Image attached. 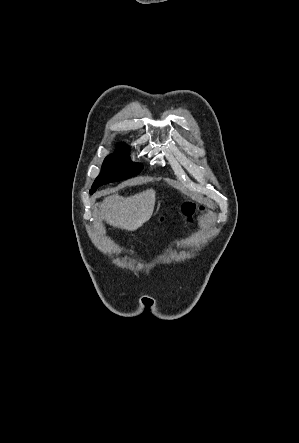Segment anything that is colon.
Returning <instances> with one entry per match:
<instances>
[{
	"mask_svg": "<svg viewBox=\"0 0 299 443\" xmlns=\"http://www.w3.org/2000/svg\"><path fill=\"white\" fill-rule=\"evenodd\" d=\"M181 210L185 216L191 218L192 215L196 212L197 206L194 203L186 202L182 205ZM200 210H202V207L200 208Z\"/></svg>",
	"mask_w": 299,
	"mask_h": 443,
	"instance_id": "colon-1",
	"label": "colon"
}]
</instances>
